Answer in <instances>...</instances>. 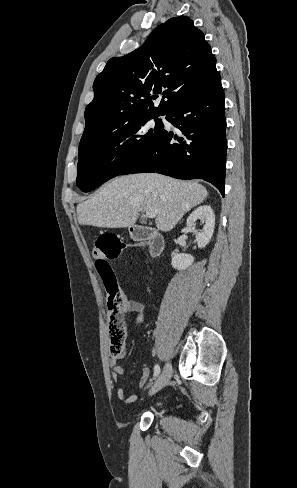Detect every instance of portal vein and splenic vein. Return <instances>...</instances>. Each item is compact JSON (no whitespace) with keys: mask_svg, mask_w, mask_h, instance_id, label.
Listing matches in <instances>:
<instances>
[{"mask_svg":"<svg viewBox=\"0 0 297 488\" xmlns=\"http://www.w3.org/2000/svg\"><path fill=\"white\" fill-rule=\"evenodd\" d=\"M156 213H157L156 210L151 208L146 211V216L148 218H154L156 217Z\"/></svg>","mask_w":297,"mask_h":488,"instance_id":"1","label":"portal vein and splenic vein"}]
</instances>
